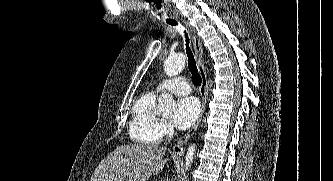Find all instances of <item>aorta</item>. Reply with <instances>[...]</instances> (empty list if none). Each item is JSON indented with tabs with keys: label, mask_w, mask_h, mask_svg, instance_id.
<instances>
[{
	"label": "aorta",
	"mask_w": 333,
	"mask_h": 181,
	"mask_svg": "<svg viewBox=\"0 0 333 181\" xmlns=\"http://www.w3.org/2000/svg\"><path fill=\"white\" fill-rule=\"evenodd\" d=\"M185 56L183 54H177L174 56L168 57L164 61V72L167 76L173 77L178 75L183 68L185 67ZM159 110L163 113H169L173 110L175 106V100L172 95L168 93H162L158 99ZM195 145H190L188 147L185 159V169L188 170L191 167L193 158L195 155Z\"/></svg>",
	"instance_id": "1"
}]
</instances>
